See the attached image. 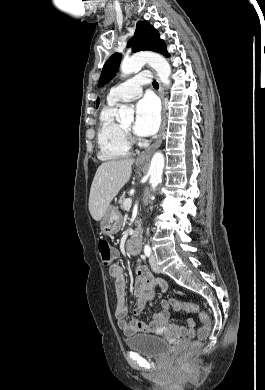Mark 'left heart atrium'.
I'll return each instance as SVG.
<instances>
[{
  "label": "left heart atrium",
  "mask_w": 265,
  "mask_h": 390,
  "mask_svg": "<svg viewBox=\"0 0 265 390\" xmlns=\"http://www.w3.org/2000/svg\"><path fill=\"white\" fill-rule=\"evenodd\" d=\"M160 124V110L157 102L146 97L136 105L134 131L137 135L148 137L155 134Z\"/></svg>",
  "instance_id": "obj_1"
}]
</instances>
